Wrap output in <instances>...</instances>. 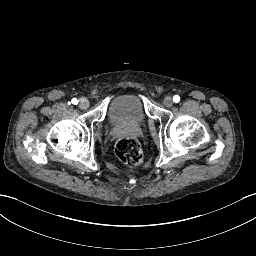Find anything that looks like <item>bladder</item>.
<instances>
[{"instance_id":"1","label":"bladder","mask_w":256,"mask_h":256,"mask_svg":"<svg viewBox=\"0 0 256 256\" xmlns=\"http://www.w3.org/2000/svg\"><path fill=\"white\" fill-rule=\"evenodd\" d=\"M139 98L129 93H121L113 99V108L110 120L115 124L128 125L131 127L143 125L145 113L139 105Z\"/></svg>"}]
</instances>
